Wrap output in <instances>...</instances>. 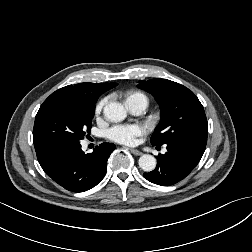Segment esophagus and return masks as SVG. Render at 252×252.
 Masks as SVG:
<instances>
[{
    "instance_id": "esophagus-1",
    "label": "esophagus",
    "mask_w": 252,
    "mask_h": 252,
    "mask_svg": "<svg viewBox=\"0 0 252 252\" xmlns=\"http://www.w3.org/2000/svg\"><path fill=\"white\" fill-rule=\"evenodd\" d=\"M130 151H131V153H133L134 155H137V156L142 155V152L139 151V150H137V149L130 148Z\"/></svg>"
}]
</instances>
